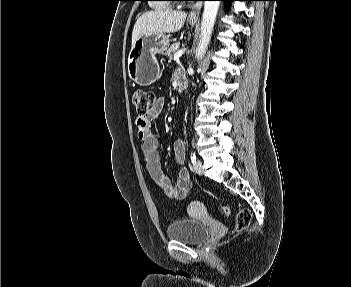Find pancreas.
Masks as SVG:
<instances>
[{"label":"pancreas","mask_w":351,"mask_h":287,"mask_svg":"<svg viewBox=\"0 0 351 287\" xmlns=\"http://www.w3.org/2000/svg\"><path fill=\"white\" fill-rule=\"evenodd\" d=\"M179 44H173L171 45V47H169V49L166 51L165 55L168 56V58L171 60L173 58V55L176 53L177 49H178Z\"/></svg>","instance_id":"obj_1"}]
</instances>
